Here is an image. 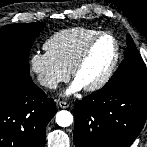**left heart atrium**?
<instances>
[{
	"instance_id": "1",
	"label": "left heart atrium",
	"mask_w": 147,
	"mask_h": 147,
	"mask_svg": "<svg viewBox=\"0 0 147 147\" xmlns=\"http://www.w3.org/2000/svg\"><path fill=\"white\" fill-rule=\"evenodd\" d=\"M83 88L82 84H80L77 80H74L72 85L65 91L66 95H71Z\"/></svg>"
}]
</instances>
